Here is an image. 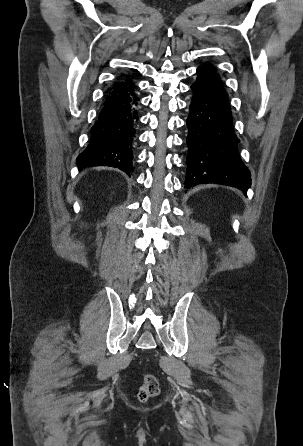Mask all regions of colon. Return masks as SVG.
I'll list each match as a JSON object with an SVG mask.
<instances>
[{
	"label": "colon",
	"mask_w": 303,
	"mask_h": 446,
	"mask_svg": "<svg viewBox=\"0 0 303 446\" xmlns=\"http://www.w3.org/2000/svg\"><path fill=\"white\" fill-rule=\"evenodd\" d=\"M159 393V384L156 377L150 373L143 376V383L138 392V398L141 402H146Z\"/></svg>",
	"instance_id": "5ec220e1"
}]
</instances>
